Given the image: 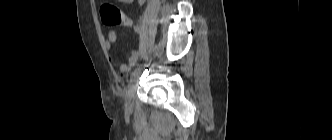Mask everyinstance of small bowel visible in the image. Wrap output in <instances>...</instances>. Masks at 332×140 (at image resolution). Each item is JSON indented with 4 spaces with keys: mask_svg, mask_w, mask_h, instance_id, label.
Here are the masks:
<instances>
[{
    "mask_svg": "<svg viewBox=\"0 0 332 140\" xmlns=\"http://www.w3.org/2000/svg\"><path fill=\"white\" fill-rule=\"evenodd\" d=\"M121 3L125 4H132L134 3L136 7H141L144 3L145 0H118ZM117 41V33L114 30H110L107 33V39L105 41V46L107 49H110ZM139 59V51L134 50L132 51L128 62L127 63H121L119 65V71L122 73H126L130 71L132 67H134Z\"/></svg>",
    "mask_w": 332,
    "mask_h": 140,
    "instance_id": "small-bowel-1",
    "label": "small bowel"
}]
</instances>
